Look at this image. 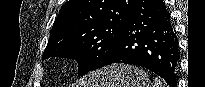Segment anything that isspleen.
I'll use <instances>...</instances> for the list:
<instances>
[{
  "instance_id": "3e777b00",
  "label": "spleen",
  "mask_w": 205,
  "mask_h": 87,
  "mask_svg": "<svg viewBox=\"0 0 205 87\" xmlns=\"http://www.w3.org/2000/svg\"><path fill=\"white\" fill-rule=\"evenodd\" d=\"M154 87H164L162 82L158 79L154 80Z\"/></svg>"
}]
</instances>
